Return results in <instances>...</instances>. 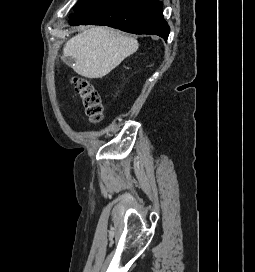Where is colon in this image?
Here are the masks:
<instances>
[{
	"label": "colon",
	"instance_id": "1",
	"mask_svg": "<svg viewBox=\"0 0 255 272\" xmlns=\"http://www.w3.org/2000/svg\"><path fill=\"white\" fill-rule=\"evenodd\" d=\"M72 84L90 121L100 123L103 119V106L98 91L85 78H74Z\"/></svg>",
	"mask_w": 255,
	"mask_h": 272
}]
</instances>
